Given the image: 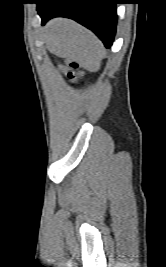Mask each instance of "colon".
I'll return each mask as SVG.
<instances>
[{"instance_id":"5ec220e1","label":"colon","mask_w":166,"mask_h":267,"mask_svg":"<svg viewBox=\"0 0 166 267\" xmlns=\"http://www.w3.org/2000/svg\"><path fill=\"white\" fill-rule=\"evenodd\" d=\"M62 70L72 82H77L83 75V72L80 69V65L73 60H68L62 66Z\"/></svg>"}]
</instances>
